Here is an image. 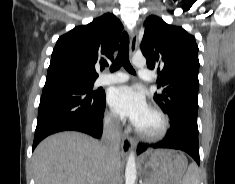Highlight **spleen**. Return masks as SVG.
Here are the masks:
<instances>
[{
    "label": "spleen",
    "instance_id": "3e777b00",
    "mask_svg": "<svg viewBox=\"0 0 235 184\" xmlns=\"http://www.w3.org/2000/svg\"><path fill=\"white\" fill-rule=\"evenodd\" d=\"M181 184H199L198 168L196 164H190Z\"/></svg>",
    "mask_w": 235,
    "mask_h": 184
}]
</instances>
